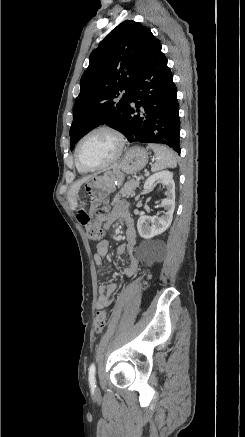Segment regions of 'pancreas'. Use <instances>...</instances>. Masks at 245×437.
Wrapping results in <instances>:
<instances>
[{
    "mask_svg": "<svg viewBox=\"0 0 245 437\" xmlns=\"http://www.w3.org/2000/svg\"><path fill=\"white\" fill-rule=\"evenodd\" d=\"M139 184L140 181L134 179L126 182L119 193L114 197L112 204L117 203L121 196L127 197L133 195Z\"/></svg>",
    "mask_w": 245,
    "mask_h": 437,
    "instance_id": "obj_1",
    "label": "pancreas"
}]
</instances>
